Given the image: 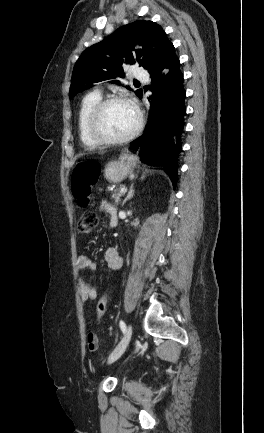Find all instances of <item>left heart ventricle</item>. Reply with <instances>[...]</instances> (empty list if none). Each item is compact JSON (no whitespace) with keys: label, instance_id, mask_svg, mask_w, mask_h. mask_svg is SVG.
Segmentation results:
<instances>
[{"label":"left heart ventricle","instance_id":"1","mask_svg":"<svg viewBox=\"0 0 264 433\" xmlns=\"http://www.w3.org/2000/svg\"><path fill=\"white\" fill-rule=\"evenodd\" d=\"M136 121V113L130 105L116 103L105 109L101 117L100 129L108 137H123L134 128Z\"/></svg>","mask_w":264,"mask_h":433}]
</instances>
